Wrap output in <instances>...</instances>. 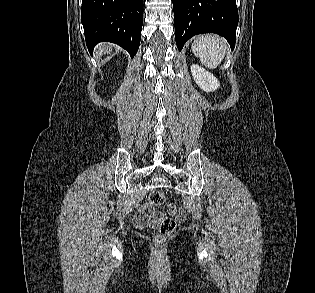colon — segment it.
I'll return each mask as SVG.
<instances>
[{
    "mask_svg": "<svg viewBox=\"0 0 315 293\" xmlns=\"http://www.w3.org/2000/svg\"><path fill=\"white\" fill-rule=\"evenodd\" d=\"M149 203L154 206H161L165 203V196L162 192L154 191L149 195ZM172 217H163L157 222L158 234L154 240L156 243L163 242L176 228L177 223L185 218V213L175 207L170 206Z\"/></svg>",
    "mask_w": 315,
    "mask_h": 293,
    "instance_id": "obj_1",
    "label": "colon"
}]
</instances>
